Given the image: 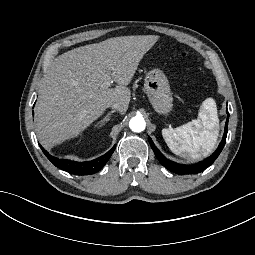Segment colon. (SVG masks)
<instances>
[{
  "label": "colon",
  "instance_id": "obj_1",
  "mask_svg": "<svg viewBox=\"0 0 255 255\" xmlns=\"http://www.w3.org/2000/svg\"><path fill=\"white\" fill-rule=\"evenodd\" d=\"M182 58H186V57H188V54L187 53H181V55H180Z\"/></svg>",
  "mask_w": 255,
  "mask_h": 255
}]
</instances>
